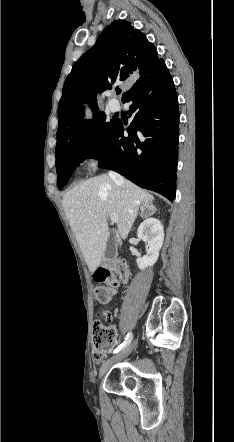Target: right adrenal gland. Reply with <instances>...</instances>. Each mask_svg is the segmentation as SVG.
I'll return each mask as SVG.
<instances>
[{"label": "right adrenal gland", "instance_id": "2a0ac1e0", "mask_svg": "<svg viewBox=\"0 0 234 442\" xmlns=\"http://www.w3.org/2000/svg\"><path fill=\"white\" fill-rule=\"evenodd\" d=\"M145 206H146V204H143L141 207H140V209H141V217H143V215H144V210H145ZM155 209V208H154ZM156 210V209H155Z\"/></svg>", "mask_w": 234, "mask_h": 442}]
</instances>
